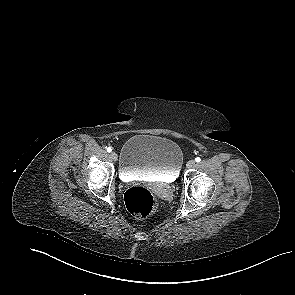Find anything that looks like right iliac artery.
Listing matches in <instances>:
<instances>
[{
  "instance_id": "1",
  "label": "right iliac artery",
  "mask_w": 295,
  "mask_h": 295,
  "mask_svg": "<svg viewBox=\"0 0 295 295\" xmlns=\"http://www.w3.org/2000/svg\"><path fill=\"white\" fill-rule=\"evenodd\" d=\"M112 151V148L111 147H108L107 148V152H111Z\"/></svg>"
}]
</instances>
